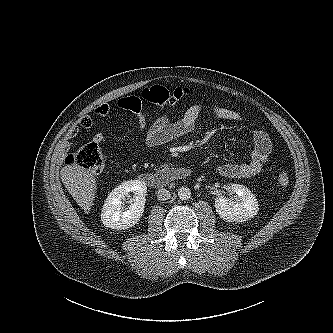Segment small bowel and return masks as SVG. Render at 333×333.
Here are the masks:
<instances>
[{"label":"small bowel","mask_w":333,"mask_h":333,"mask_svg":"<svg viewBox=\"0 0 333 333\" xmlns=\"http://www.w3.org/2000/svg\"><path fill=\"white\" fill-rule=\"evenodd\" d=\"M119 108L132 112L138 119L139 126L145 125V117L142 112L141 100L135 96H127L117 101ZM207 109L218 119L242 122L244 117L238 111L221 107L216 104L199 102L190 106L184 114L176 121H171L168 115L163 114L157 117L148 127L145 135V143L148 147H157L173 141L192 132L201 117L202 112ZM110 105L101 104L94 109L96 117H106L110 113ZM94 120L91 116L81 119L79 125L71 127L65 135L64 144L69 147L71 141L79 134L81 128H91ZM104 140V134L98 132L94 135L93 141L100 143ZM272 152V142L269 135L263 130L253 133V148L250 159L246 162L224 163L219 167V173L228 178H249L257 175L263 168Z\"/></svg>","instance_id":"1"}]
</instances>
